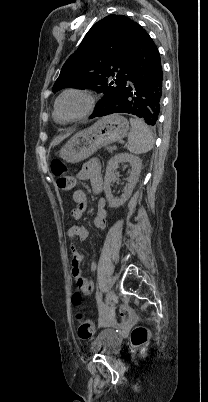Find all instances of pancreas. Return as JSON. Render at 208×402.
<instances>
[{
	"label": "pancreas",
	"mask_w": 208,
	"mask_h": 402,
	"mask_svg": "<svg viewBox=\"0 0 208 402\" xmlns=\"http://www.w3.org/2000/svg\"><path fill=\"white\" fill-rule=\"evenodd\" d=\"M106 150H109V152H112L113 148H111V146H107Z\"/></svg>",
	"instance_id": "cf45deb5"
}]
</instances>
